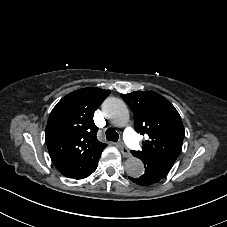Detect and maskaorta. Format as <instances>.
<instances>
[{
  "label": "aorta",
  "instance_id": "1",
  "mask_svg": "<svg viewBox=\"0 0 227 227\" xmlns=\"http://www.w3.org/2000/svg\"><path fill=\"white\" fill-rule=\"evenodd\" d=\"M105 117L117 127H123L129 122L127 105L118 98H108L102 104ZM125 171L130 177H140L144 174V164L139 158L130 157L125 162Z\"/></svg>",
  "mask_w": 227,
  "mask_h": 227
}]
</instances>
